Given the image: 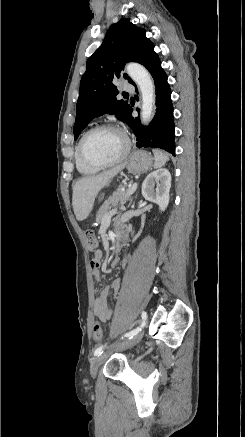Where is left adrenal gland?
<instances>
[{
  "mask_svg": "<svg viewBox=\"0 0 245 437\" xmlns=\"http://www.w3.org/2000/svg\"><path fill=\"white\" fill-rule=\"evenodd\" d=\"M131 203H132V200L130 201V204H129V206L131 205Z\"/></svg>",
  "mask_w": 245,
  "mask_h": 437,
  "instance_id": "a2214340",
  "label": "left adrenal gland"
}]
</instances>
